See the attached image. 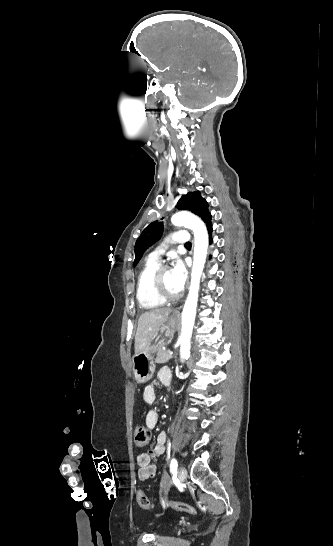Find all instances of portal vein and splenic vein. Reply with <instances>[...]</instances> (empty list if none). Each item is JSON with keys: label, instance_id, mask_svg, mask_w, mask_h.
<instances>
[{"label": "portal vein and splenic vein", "instance_id": "obj_1", "mask_svg": "<svg viewBox=\"0 0 333 546\" xmlns=\"http://www.w3.org/2000/svg\"><path fill=\"white\" fill-rule=\"evenodd\" d=\"M169 355H173V352H172V351H169Z\"/></svg>", "mask_w": 333, "mask_h": 546}]
</instances>
